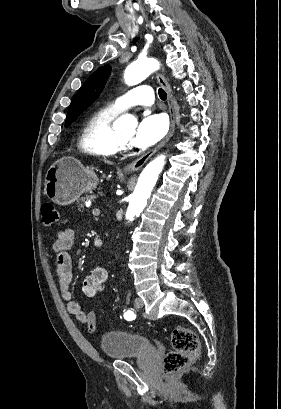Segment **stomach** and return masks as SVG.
<instances>
[{
    "label": "stomach",
    "mask_w": 281,
    "mask_h": 409,
    "mask_svg": "<svg viewBox=\"0 0 281 409\" xmlns=\"http://www.w3.org/2000/svg\"><path fill=\"white\" fill-rule=\"evenodd\" d=\"M99 182L94 168L84 166L74 156L58 158L45 176L44 192L56 205H71L83 192H91Z\"/></svg>",
    "instance_id": "1"
}]
</instances>
